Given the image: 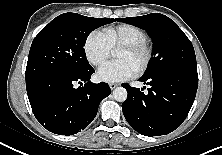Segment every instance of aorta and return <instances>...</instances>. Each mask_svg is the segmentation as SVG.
Masks as SVG:
<instances>
[{
  "instance_id": "aorta-1",
  "label": "aorta",
  "mask_w": 222,
  "mask_h": 155,
  "mask_svg": "<svg viewBox=\"0 0 222 155\" xmlns=\"http://www.w3.org/2000/svg\"><path fill=\"white\" fill-rule=\"evenodd\" d=\"M127 91L123 87H117L113 91V98L118 102H124L127 99Z\"/></svg>"
}]
</instances>
